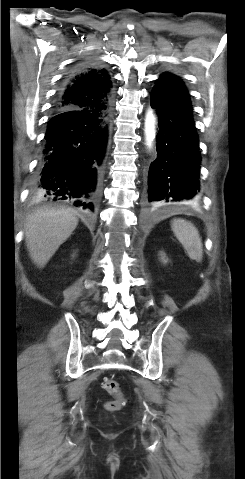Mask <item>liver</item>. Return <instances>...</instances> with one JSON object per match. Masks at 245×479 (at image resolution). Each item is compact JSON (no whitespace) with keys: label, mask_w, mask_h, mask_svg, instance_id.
<instances>
[{"label":"liver","mask_w":245,"mask_h":479,"mask_svg":"<svg viewBox=\"0 0 245 479\" xmlns=\"http://www.w3.org/2000/svg\"><path fill=\"white\" fill-rule=\"evenodd\" d=\"M78 225L68 209H40L25 223V240L33 262L43 268Z\"/></svg>","instance_id":"liver-1"}]
</instances>
